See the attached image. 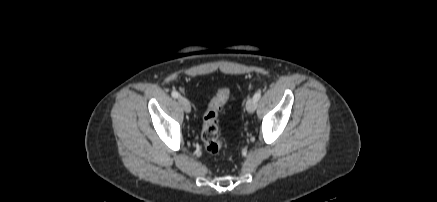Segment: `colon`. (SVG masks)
<instances>
[{
  "label": "colon",
  "mask_w": 437,
  "mask_h": 202,
  "mask_svg": "<svg viewBox=\"0 0 437 202\" xmlns=\"http://www.w3.org/2000/svg\"><path fill=\"white\" fill-rule=\"evenodd\" d=\"M229 94V88L223 87L219 89L217 94L208 104L207 110L203 116L201 138L205 150L211 155L218 154L223 147V142L219 136L218 113L227 102Z\"/></svg>",
  "instance_id": "obj_1"
}]
</instances>
